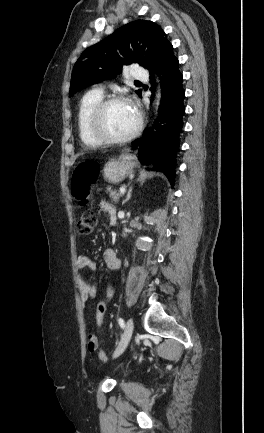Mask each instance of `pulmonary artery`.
<instances>
[{"instance_id":"e3ab8cb5","label":"pulmonary artery","mask_w":264,"mask_h":433,"mask_svg":"<svg viewBox=\"0 0 264 433\" xmlns=\"http://www.w3.org/2000/svg\"><path fill=\"white\" fill-rule=\"evenodd\" d=\"M132 77L136 80H146L148 73L144 68L134 67L132 69ZM97 90L103 93V88H98Z\"/></svg>"}]
</instances>
